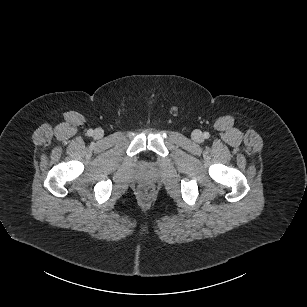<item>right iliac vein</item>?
I'll return each instance as SVG.
<instances>
[{
	"instance_id": "63e3f726",
	"label": "right iliac vein",
	"mask_w": 307,
	"mask_h": 307,
	"mask_svg": "<svg viewBox=\"0 0 307 307\" xmlns=\"http://www.w3.org/2000/svg\"><path fill=\"white\" fill-rule=\"evenodd\" d=\"M103 134H104V132H103L102 129H96V130L94 131V137H95L96 139L102 138V137H103Z\"/></svg>"
}]
</instances>
